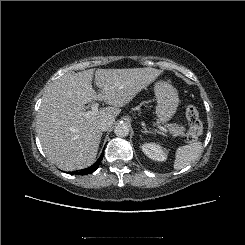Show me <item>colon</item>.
<instances>
[{"label": "colon", "instance_id": "1", "mask_svg": "<svg viewBox=\"0 0 245 245\" xmlns=\"http://www.w3.org/2000/svg\"><path fill=\"white\" fill-rule=\"evenodd\" d=\"M185 114L189 125L185 139L188 142L196 141L202 133V122L199 113L193 105L187 104L185 106Z\"/></svg>", "mask_w": 245, "mask_h": 245}]
</instances>
